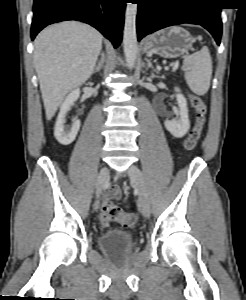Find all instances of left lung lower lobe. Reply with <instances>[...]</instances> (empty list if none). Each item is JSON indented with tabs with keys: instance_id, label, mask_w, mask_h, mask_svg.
<instances>
[{
	"instance_id": "1",
	"label": "left lung lower lobe",
	"mask_w": 246,
	"mask_h": 300,
	"mask_svg": "<svg viewBox=\"0 0 246 300\" xmlns=\"http://www.w3.org/2000/svg\"><path fill=\"white\" fill-rule=\"evenodd\" d=\"M137 33L144 36L159 29L181 24H198L206 28L220 44L222 34L221 7L218 0H136Z\"/></svg>"
}]
</instances>
